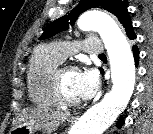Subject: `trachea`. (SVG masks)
Masks as SVG:
<instances>
[{"label":"trachea","instance_id":"1","mask_svg":"<svg viewBox=\"0 0 153 134\" xmlns=\"http://www.w3.org/2000/svg\"><path fill=\"white\" fill-rule=\"evenodd\" d=\"M103 56H105L104 54H99V57H103Z\"/></svg>","mask_w":153,"mask_h":134}]
</instances>
